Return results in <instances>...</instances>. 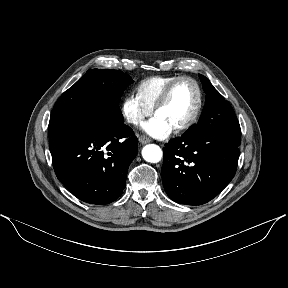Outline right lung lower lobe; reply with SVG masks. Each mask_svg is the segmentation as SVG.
<instances>
[{
    "label": "right lung lower lobe",
    "mask_w": 288,
    "mask_h": 288,
    "mask_svg": "<svg viewBox=\"0 0 288 288\" xmlns=\"http://www.w3.org/2000/svg\"><path fill=\"white\" fill-rule=\"evenodd\" d=\"M50 151L57 178L78 199L115 201L125 188L138 139L124 123L111 124L88 107L49 124Z\"/></svg>",
    "instance_id": "right-lung-lower-lobe-1"
}]
</instances>
